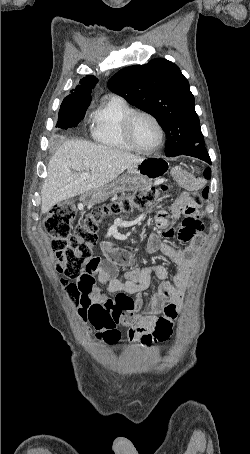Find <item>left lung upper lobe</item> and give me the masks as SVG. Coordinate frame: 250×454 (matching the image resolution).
Returning <instances> with one entry per match:
<instances>
[{"label":"left lung upper lobe","mask_w":250,"mask_h":454,"mask_svg":"<svg viewBox=\"0 0 250 454\" xmlns=\"http://www.w3.org/2000/svg\"><path fill=\"white\" fill-rule=\"evenodd\" d=\"M108 87L158 120L167 134L166 156L204 146L194 96L174 63L156 58L126 67L109 80Z\"/></svg>","instance_id":"obj_1"}]
</instances>
